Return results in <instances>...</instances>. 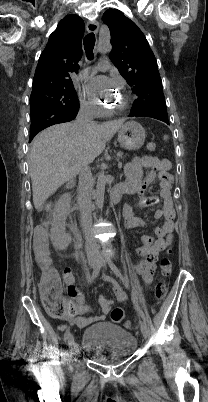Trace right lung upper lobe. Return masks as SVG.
<instances>
[{
	"mask_svg": "<svg viewBox=\"0 0 208 402\" xmlns=\"http://www.w3.org/2000/svg\"><path fill=\"white\" fill-rule=\"evenodd\" d=\"M84 27V21L78 15H67L59 22L40 55L32 93L41 86L71 80L70 74L77 73Z\"/></svg>",
	"mask_w": 208,
	"mask_h": 402,
	"instance_id": "right-lung-upper-lobe-1",
	"label": "right lung upper lobe"
}]
</instances>
